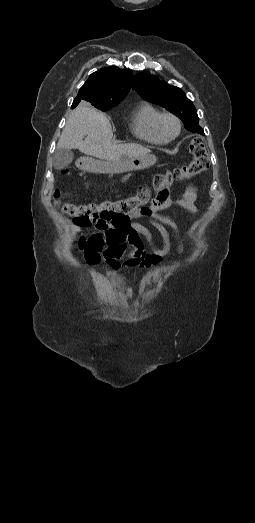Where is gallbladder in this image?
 Here are the masks:
<instances>
[{
  "mask_svg": "<svg viewBox=\"0 0 255 523\" xmlns=\"http://www.w3.org/2000/svg\"><path fill=\"white\" fill-rule=\"evenodd\" d=\"M74 158L72 150L68 148H57L53 154V166L55 170H63L71 164Z\"/></svg>",
  "mask_w": 255,
  "mask_h": 523,
  "instance_id": "1",
  "label": "gallbladder"
}]
</instances>
